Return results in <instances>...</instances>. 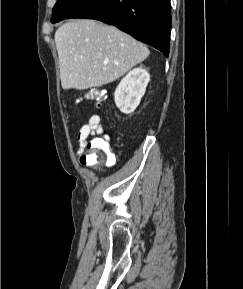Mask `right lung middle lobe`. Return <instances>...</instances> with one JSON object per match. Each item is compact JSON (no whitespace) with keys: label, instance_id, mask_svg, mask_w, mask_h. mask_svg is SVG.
<instances>
[{"label":"right lung middle lobe","instance_id":"1","mask_svg":"<svg viewBox=\"0 0 243 289\" xmlns=\"http://www.w3.org/2000/svg\"><path fill=\"white\" fill-rule=\"evenodd\" d=\"M84 0H58L53 8L52 23L66 19V17Z\"/></svg>","mask_w":243,"mask_h":289}]
</instances>
